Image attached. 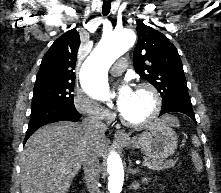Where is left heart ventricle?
<instances>
[{"label": "left heart ventricle", "mask_w": 221, "mask_h": 193, "mask_svg": "<svg viewBox=\"0 0 221 193\" xmlns=\"http://www.w3.org/2000/svg\"><path fill=\"white\" fill-rule=\"evenodd\" d=\"M153 107V100L147 91H134V96L128 108L122 113L130 120H141L148 116Z\"/></svg>", "instance_id": "b2bd125f"}]
</instances>
